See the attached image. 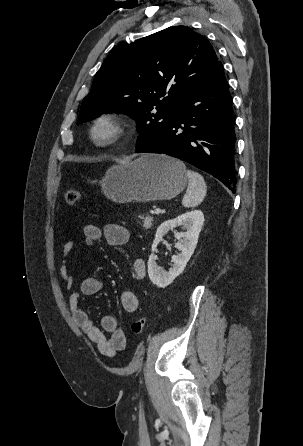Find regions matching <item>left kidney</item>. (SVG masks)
Returning <instances> with one entry per match:
<instances>
[{
  "instance_id": "5707ae66",
  "label": "left kidney",
  "mask_w": 303,
  "mask_h": 446,
  "mask_svg": "<svg viewBox=\"0 0 303 446\" xmlns=\"http://www.w3.org/2000/svg\"><path fill=\"white\" fill-rule=\"evenodd\" d=\"M203 224V212L201 210H193L181 214L172 220H167L158 227L151 247L152 254L148 260V275L153 284L160 288H164L171 284L173 280L183 272L196 248ZM178 226H182L186 231L175 232V238L178 240L175 247L180 253L172 257L173 266L166 272L157 265L154 258V252L163 236L166 235L170 229L172 230Z\"/></svg>"
}]
</instances>
